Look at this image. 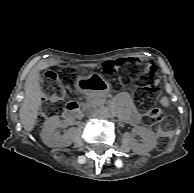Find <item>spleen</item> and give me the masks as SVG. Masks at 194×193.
Returning a JSON list of instances; mask_svg holds the SVG:
<instances>
[{
  "label": "spleen",
  "mask_w": 194,
  "mask_h": 193,
  "mask_svg": "<svg viewBox=\"0 0 194 193\" xmlns=\"http://www.w3.org/2000/svg\"><path fill=\"white\" fill-rule=\"evenodd\" d=\"M161 104H162L163 106H165V107H169L170 103H169L168 98L165 97V96L162 97V98H161Z\"/></svg>",
  "instance_id": "spleen-1"
}]
</instances>
